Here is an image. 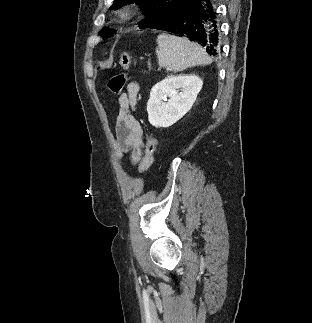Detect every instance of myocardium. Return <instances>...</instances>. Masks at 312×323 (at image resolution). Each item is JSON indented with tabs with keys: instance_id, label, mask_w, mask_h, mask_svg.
Here are the masks:
<instances>
[{
	"instance_id": "myocardium-1",
	"label": "myocardium",
	"mask_w": 312,
	"mask_h": 323,
	"mask_svg": "<svg viewBox=\"0 0 312 323\" xmlns=\"http://www.w3.org/2000/svg\"><path fill=\"white\" fill-rule=\"evenodd\" d=\"M126 8H136V5H126ZM113 15L115 17H122V19H126V23H129V21L133 17H136L138 15V12L136 10H115L113 12Z\"/></svg>"
}]
</instances>
